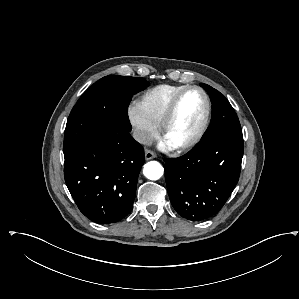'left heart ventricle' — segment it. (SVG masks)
I'll return each instance as SVG.
<instances>
[{"label": "left heart ventricle", "instance_id": "obj_1", "mask_svg": "<svg viewBox=\"0 0 299 299\" xmlns=\"http://www.w3.org/2000/svg\"><path fill=\"white\" fill-rule=\"evenodd\" d=\"M205 110L204 99L198 91H189L181 99L169 125L165 141L177 145L188 140L198 129Z\"/></svg>", "mask_w": 299, "mask_h": 299}]
</instances>
